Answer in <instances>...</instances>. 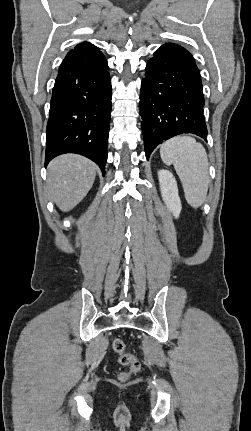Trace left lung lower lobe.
Segmentation results:
<instances>
[{
    "mask_svg": "<svg viewBox=\"0 0 251 431\" xmlns=\"http://www.w3.org/2000/svg\"><path fill=\"white\" fill-rule=\"evenodd\" d=\"M200 71L192 55L166 43L154 52L141 83L140 115L146 158L173 136L193 133L207 141Z\"/></svg>",
    "mask_w": 251,
    "mask_h": 431,
    "instance_id": "obj_1",
    "label": "left lung lower lobe"
}]
</instances>
